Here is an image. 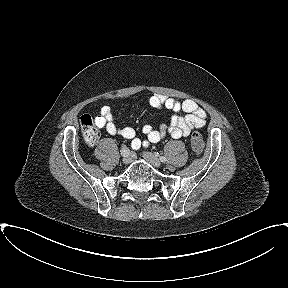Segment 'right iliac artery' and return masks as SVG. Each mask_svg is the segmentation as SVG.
Listing matches in <instances>:
<instances>
[{
  "instance_id": "1",
  "label": "right iliac artery",
  "mask_w": 288,
  "mask_h": 288,
  "mask_svg": "<svg viewBox=\"0 0 288 288\" xmlns=\"http://www.w3.org/2000/svg\"><path fill=\"white\" fill-rule=\"evenodd\" d=\"M130 150L126 147H123L121 149V154H122V157L125 158V159H128L130 157Z\"/></svg>"
}]
</instances>
